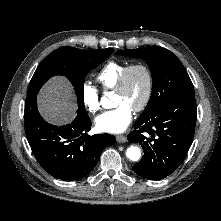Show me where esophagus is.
<instances>
[{"mask_svg": "<svg viewBox=\"0 0 221 221\" xmlns=\"http://www.w3.org/2000/svg\"><path fill=\"white\" fill-rule=\"evenodd\" d=\"M116 140L119 142V143H125L127 141V137L125 135H117L116 136Z\"/></svg>", "mask_w": 221, "mask_h": 221, "instance_id": "obj_1", "label": "esophagus"}]
</instances>
